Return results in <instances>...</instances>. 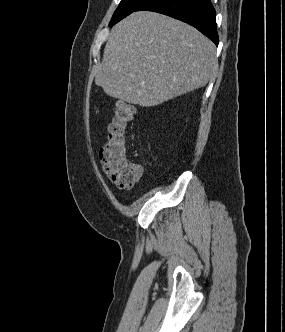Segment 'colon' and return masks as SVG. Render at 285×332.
<instances>
[{
  "instance_id": "colon-1",
  "label": "colon",
  "mask_w": 285,
  "mask_h": 332,
  "mask_svg": "<svg viewBox=\"0 0 285 332\" xmlns=\"http://www.w3.org/2000/svg\"><path fill=\"white\" fill-rule=\"evenodd\" d=\"M135 114L136 109L132 104L124 101L115 104L107 137L99 152L103 171L121 189H131L143 175V167L127 156L126 129Z\"/></svg>"
}]
</instances>
